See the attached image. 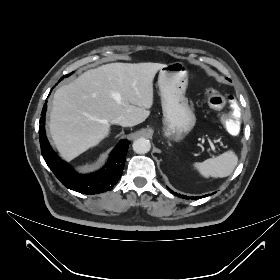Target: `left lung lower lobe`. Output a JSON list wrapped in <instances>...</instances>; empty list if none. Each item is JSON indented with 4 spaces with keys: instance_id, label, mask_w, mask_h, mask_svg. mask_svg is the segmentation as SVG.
<instances>
[{
    "instance_id": "0a47b994",
    "label": "left lung lower lobe",
    "mask_w": 280,
    "mask_h": 280,
    "mask_svg": "<svg viewBox=\"0 0 280 280\" xmlns=\"http://www.w3.org/2000/svg\"><path fill=\"white\" fill-rule=\"evenodd\" d=\"M167 189H168L172 194H174L175 196L182 197V198H184V199H189L188 196L174 193V192H173L172 190H170L168 187H167ZM205 196H207V195H205ZM205 196H203V197H205ZM198 198H201V197H195V198H194V197H191V199H198Z\"/></svg>"
}]
</instances>
